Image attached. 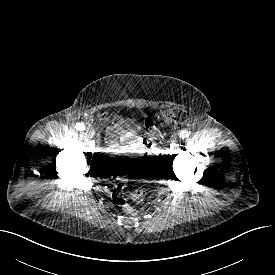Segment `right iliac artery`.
<instances>
[{
  "instance_id": "right-iliac-artery-1",
  "label": "right iliac artery",
  "mask_w": 275,
  "mask_h": 275,
  "mask_svg": "<svg viewBox=\"0 0 275 275\" xmlns=\"http://www.w3.org/2000/svg\"><path fill=\"white\" fill-rule=\"evenodd\" d=\"M76 130L83 131L85 130V125L83 123H77L75 125Z\"/></svg>"
}]
</instances>
